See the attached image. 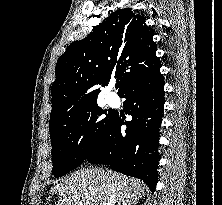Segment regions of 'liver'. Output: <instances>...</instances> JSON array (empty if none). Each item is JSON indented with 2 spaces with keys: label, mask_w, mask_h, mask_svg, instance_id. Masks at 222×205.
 Returning a JSON list of instances; mask_svg holds the SVG:
<instances>
[{
  "label": "liver",
  "mask_w": 222,
  "mask_h": 205,
  "mask_svg": "<svg viewBox=\"0 0 222 205\" xmlns=\"http://www.w3.org/2000/svg\"><path fill=\"white\" fill-rule=\"evenodd\" d=\"M110 189L115 191L118 203L135 205L147 186L111 170L87 168L67 176L62 183L54 185L51 192L60 196L57 205H81V199L84 205H102Z\"/></svg>",
  "instance_id": "6515ba94"
}]
</instances>
